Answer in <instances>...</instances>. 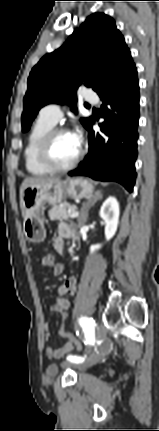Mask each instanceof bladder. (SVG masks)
Segmentation results:
<instances>
[{
    "mask_svg": "<svg viewBox=\"0 0 159 431\" xmlns=\"http://www.w3.org/2000/svg\"><path fill=\"white\" fill-rule=\"evenodd\" d=\"M57 370H58V367H57V366H55V365H52V366H50V367H49V371H50L51 373H55V372H57Z\"/></svg>",
    "mask_w": 159,
    "mask_h": 431,
    "instance_id": "bladder-1",
    "label": "bladder"
}]
</instances>
